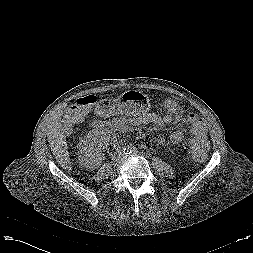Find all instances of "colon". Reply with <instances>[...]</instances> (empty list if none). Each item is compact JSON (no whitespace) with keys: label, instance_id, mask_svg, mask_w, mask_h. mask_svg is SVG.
Wrapping results in <instances>:
<instances>
[{"label":"colon","instance_id":"obj_1","mask_svg":"<svg viewBox=\"0 0 253 253\" xmlns=\"http://www.w3.org/2000/svg\"><path fill=\"white\" fill-rule=\"evenodd\" d=\"M95 96H84L70 104L64 113V122L69 127H74L81 122L96 104ZM193 138L190 143V150L193 157L197 160L205 158L209 150V140L207 128L203 119L194 115L191 116Z\"/></svg>","mask_w":253,"mask_h":253}]
</instances>
